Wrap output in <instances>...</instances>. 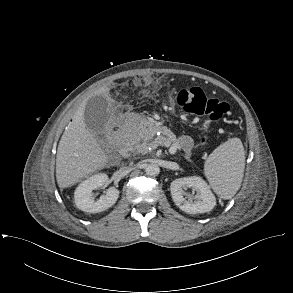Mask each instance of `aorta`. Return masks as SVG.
Wrapping results in <instances>:
<instances>
[{
	"label": "aorta",
	"instance_id": "aorta-1",
	"mask_svg": "<svg viewBox=\"0 0 293 293\" xmlns=\"http://www.w3.org/2000/svg\"><path fill=\"white\" fill-rule=\"evenodd\" d=\"M160 172V168L155 163H150L145 166V173L148 176H156Z\"/></svg>",
	"mask_w": 293,
	"mask_h": 293
}]
</instances>
